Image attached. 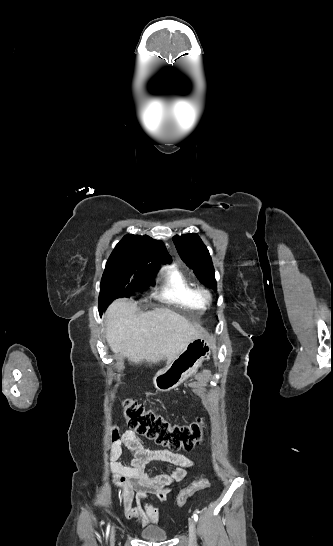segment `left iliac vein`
Returning a JSON list of instances; mask_svg holds the SVG:
<instances>
[{
    "label": "left iliac vein",
    "instance_id": "left-iliac-vein-1",
    "mask_svg": "<svg viewBox=\"0 0 333 546\" xmlns=\"http://www.w3.org/2000/svg\"><path fill=\"white\" fill-rule=\"evenodd\" d=\"M189 546H196V527L195 521L189 519Z\"/></svg>",
    "mask_w": 333,
    "mask_h": 546
}]
</instances>
